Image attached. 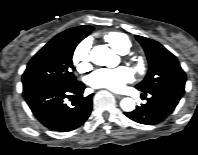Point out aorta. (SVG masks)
Instances as JSON below:
<instances>
[{"label":"aorta","instance_id":"obj_1","mask_svg":"<svg viewBox=\"0 0 198 155\" xmlns=\"http://www.w3.org/2000/svg\"><path fill=\"white\" fill-rule=\"evenodd\" d=\"M90 60L96 65L114 67L118 63V56L105 45H98L91 50ZM120 106L122 110L131 112L135 109V101L129 97L123 98Z\"/></svg>","mask_w":198,"mask_h":155}]
</instances>
